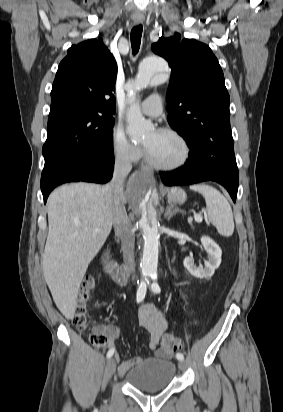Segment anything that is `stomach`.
<instances>
[{"mask_svg": "<svg viewBox=\"0 0 283 412\" xmlns=\"http://www.w3.org/2000/svg\"><path fill=\"white\" fill-rule=\"evenodd\" d=\"M167 198L172 203L182 204L186 201L187 195L183 189L173 187L167 191Z\"/></svg>", "mask_w": 283, "mask_h": 412, "instance_id": "0dacf381", "label": "stomach"}]
</instances>
